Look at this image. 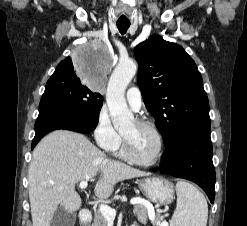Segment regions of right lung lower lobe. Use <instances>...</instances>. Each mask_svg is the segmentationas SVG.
I'll return each instance as SVG.
<instances>
[{"label": "right lung lower lobe", "instance_id": "98d812e1", "mask_svg": "<svg viewBox=\"0 0 247 226\" xmlns=\"http://www.w3.org/2000/svg\"><path fill=\"white\" fill-rule=\"evenodd\" d=\"M98 121L92 116L74 111L57 101H41L31 148L33 149L45 134L53 130L66 129L79 133H89L96 128Z\"/></svg>", "mask_w": 247, "mask_h": 226}]
</instances>
